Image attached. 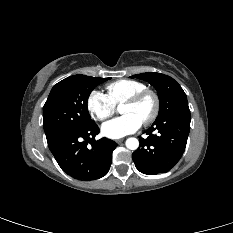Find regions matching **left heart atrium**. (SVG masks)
Instances as JSON below:
<instances>
[{"instance_id":"39dd6f15","label":"left heart atrium","mask_w":233,"mask_h":233,"mask_svg":"<svg viewBox=\"0 0 233 233\" xmlns=\"http://www.w3.org/2000/svg\"><path fill=\"white\" fill-rule=\"evenodd\" d=\"M142 122L132 114H125L105 122L102 127L104 136L110 139H119L136 132Z\"/></svg>"}]
</instances>
